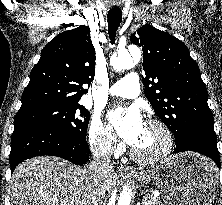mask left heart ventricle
I'll use <instances>...</instances> for the list:
<instances>
[{
	"mask_svg": "<svg viewBox=\"0 0 222 205\" xmlns=\"http://www.w3.org/2000/svg\"><path fill=\"white\" fill-rule=\"evenodd\" d=\"M163 133L155 126L145 124L144 129L133 148L141 155L150 156L158 153L164 146Z\"/></svg>",
	"mask_w": 222,
	"mask_h": 205,
	"instance_id": "left-heart-ventricle-1",
	"label": "left heart ventricle"
}]
</instances>
